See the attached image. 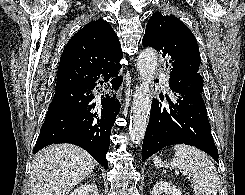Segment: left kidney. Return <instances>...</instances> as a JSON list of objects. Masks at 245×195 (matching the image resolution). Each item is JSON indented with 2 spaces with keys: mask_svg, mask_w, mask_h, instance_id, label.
I'll return each instance as SVG.
<instances>
[{
  "mask_svg": "<svg viewBox=\"0 0 245 195\" xmlns=\"http://www.w3.org/2000/svg\"><path fill=\"white\" fill-rule=\"evenodd\" d=\"M162 193L166 195H182L181 191L177 189L176 186L165 181L157 182L152 191V195H161Z\"/></svg>",
  "mask_w": 245,
  "mask_h": 195,
  "instance_id": "obj_1",
  "label": "left kidney"
}]
</instances>
